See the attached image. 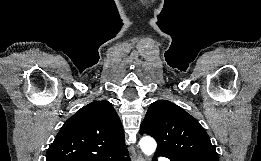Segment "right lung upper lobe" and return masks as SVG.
Segmentation results:
<instances>
[{"instance_id":"right-lung-upper-lobe-1","label":"right lung upper lobe","mask_w":261,"mask_h":161,"mask_svg":"<svg viewBox=\"0 0 261 161\" xmlns=\"http://www.w3.org/2000/svg\"><path fill=\"white\" fill-rule=\"evenodd\" d=\"M127 151L120 119L112 104L94 101L62 126L46 152V161H98Z\"/></svg>"}]
</instances>
